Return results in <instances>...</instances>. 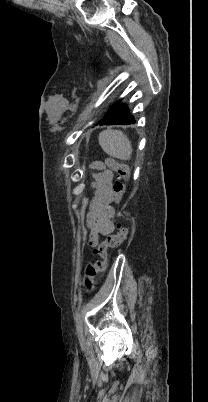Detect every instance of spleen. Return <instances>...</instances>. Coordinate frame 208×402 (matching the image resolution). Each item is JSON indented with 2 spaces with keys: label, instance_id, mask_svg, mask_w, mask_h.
<instances>
[{
  "label": "spleen",
  "instance_id": "spleen-1",
  "mask_svg": "<svg viewBox=\"0 0 208 402\" xmlns=\"http://www.w3.org/2000/svg\"><path fill=\"white\" fill-rule=\"evenodd\" d=\"M98 140L102 150L108 156H113L118 160H130L132 154L131 142L121 130H103L99 134Z\"/></svg>",
  "mask_w": 208,
  "mask_h": 402
}]
</instances>
